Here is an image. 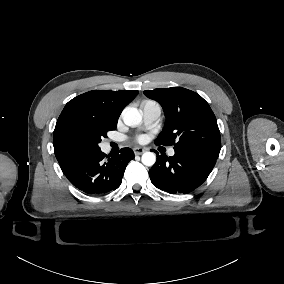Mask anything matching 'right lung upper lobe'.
<instances>
[{"mask_svg": "<svg viewBox=\"0 0 284 284\" xmlns=\"http://www.w3.org/2000/svg\"><path fill=\"white\" fill-rule=\"evenodd\" d=\"M138 91L92 90L70 100L62 110L53 133L55 156L60 165L86 153L69 136L68 127L74 120L94 123L115 130L118 118Z\"/></svg>", "mask_w": 284, "mask_h": 284, "instance_id": "obj_1", "label": "right lung upper lobe"}]
</instances>
